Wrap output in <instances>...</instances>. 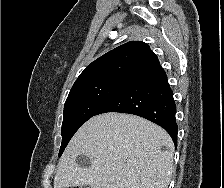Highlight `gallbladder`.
Instances as JSON below:
<instances>
[{
  "mask_svg": "<svg viewBox=\"0 0 224 188\" xmlns=\"http://www.w3.org/2000/svg\"><path fill=\"white\" fill-rule=\"evenodd\" d=\"M80 188H90V186L85 184V185L80 186Z\"/></svg>",
  "mask_w": 224,
  "mask_h": 188,
  "instance_id": "bac80fb5",
  "label": "gallbladder"
}]
</instances>
